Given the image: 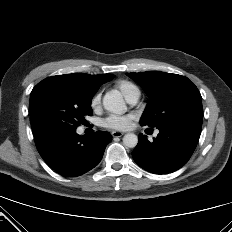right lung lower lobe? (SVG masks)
I'll list each match as a JSON object with an SVG mask.
<instances>
[{
	"label": "right lung lower lobe",
	"mask_w": 232,
	"mask_h": 232,
	"mask_svg": "<svg viewBox=\"0 0 232 232\" xmlns=\"http://www.w3.org/2000/svg\"><path fill=\"white\" fill-rule=\"evenodd\" d=\"M36 147L45 162L61 175L80 176L94 168L102 159L110 133L98 131L79 136L75 130L52 128L33 134Z\"/></svg>",
	"instance_id": "98d812e1"
}]
</instances>
